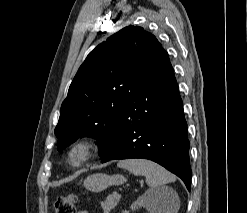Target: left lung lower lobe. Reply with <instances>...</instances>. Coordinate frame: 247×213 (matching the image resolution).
<instances>
[{"mask_svg":"<svg viewBox=\"0 0 247 213\" xmlns=\"http://www.w3.org/2000/svg\"><path fill=\"white\" fill-rule=\"evenodd\" d=\"M189 147L182 100L167 56L146 71L136 95L125 102L102 162L149 159L180 177L190 190Z\"/></svg>","mask_w":247,"mask_h":213,"instance_id":"left-lung-lower-lobe-1","label":"left lung lower lobe"}]
</instances>
